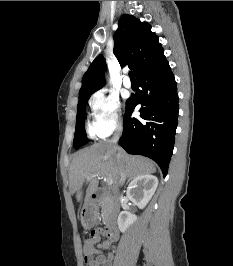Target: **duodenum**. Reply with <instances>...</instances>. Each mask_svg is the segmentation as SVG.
I'll list each match as a JSON object with an SVG mask.
<instances>
[{"label":"duodenum","instance_id":"1","mask_svg":"<svg viewBox=\"0 0 233 266\" xmlns=\"http://www.w3.org/2000/svg\"><path fill=\"white\" fill-rule=\"evenodd\" d=\"M92 202L104 201L107 206V223L105 234L109 240L115 241L119 238L118 214L119 203L110 191L96 190L91 194Z\"/></svg>","mask_w":233,"mask_h":266}]
</instances>
